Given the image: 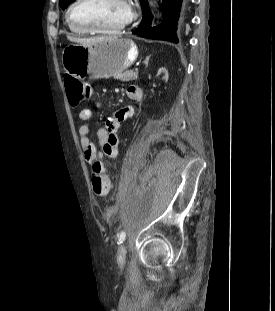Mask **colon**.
Here are the masks:
<instances>
[{"instance_id":"1","label":"colon","mask_w":275,"mask_h":311,"mask_svg":"<svg viewBox=\"0 0 275 311\" xmlns=\"http://www.w3.org/2000/svg\"><path fill=\"white\" fill-rule=\"evenodd\" d=\"M64 84L71 106L76 107L92 98V89L90 85L69 75L64 77ZM91 184L94 193L100 197L106 196L111 189L110 178L103 165L98 161L93 165Z\"/></svg>"}]
</instances>
